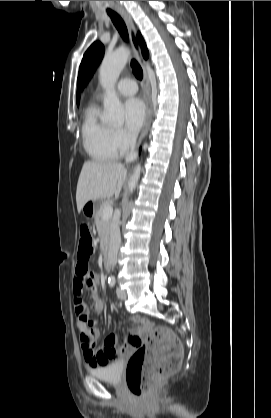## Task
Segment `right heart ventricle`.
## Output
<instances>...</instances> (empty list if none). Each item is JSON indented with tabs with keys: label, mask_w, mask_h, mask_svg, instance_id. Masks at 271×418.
I'll return each instance as SVG.
<instances>
[{
	"label": "right heart ventricle",
	"mask_w": 271,
	"mask_h": 418,
	"mask_svg": "<svg viewBox=\"0 0 271 418\" xmlns=\"http://www.w3.org/2000/svg\"><path fill=\"white\" fill-rule=\"evenodd\" d=\"M83 146L89 157L95 161H111L118 157L113 142V129L100 119L96 106L88 108L82 126Z\"/></svg>",
	"instance_id": "right-heart-ventricle-1"
}]
</instances>
